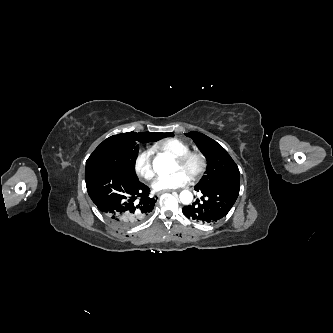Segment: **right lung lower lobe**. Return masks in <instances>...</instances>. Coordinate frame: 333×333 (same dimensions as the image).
<instances>
[{
    "mask_svg": "<svg viewBox=\"0 0 333 333\" xmlns=\"http://www.w3.org/2000/svg\"><path fill=\"white\" fill-rule=\"evenodd\" d=\"M88 194L102 214L119 228L144 220L157 198L149 196V187L138 178L105 166L85 170Z\"/></svg>",
    "mask_w": 333,
    "mask_h": 333,
    "instance_id": "right-lung-lower-lobe-1",
    "label": "right lung lower lobe"
}]
</instances>
